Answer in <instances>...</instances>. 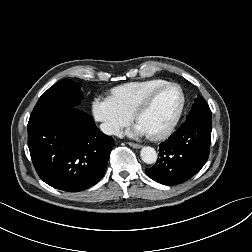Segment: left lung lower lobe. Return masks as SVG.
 Returning a JSON list of instances; mask_svg holds the SVG:
<instances>
[{
  "mask_svg": "<svg viewBox=\"0 0 252 252\" xmlns=\"http://www.w3.org/2000/svg\"><path fill=\"white\" fill-rule=\"evenodd\" d=\"M211 130L212 119L186 121L159 145L157 162L145 169L146 174L165 185H176L189 180L208 159Z\"/></svg>",
  "mask_w": 252,
  "mask_h": 252,
  "instance_id": "left-lung-lower-lobe-1",
  "label": "left lung lower lobe"
}]
</instances>
